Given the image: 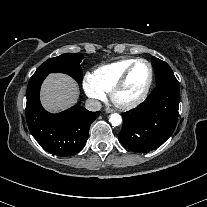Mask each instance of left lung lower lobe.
I'll list each match as a JSON object with an SVG mask.
<instances>
[{"label": "left lung lower lobe", "mask_w": 207, "mask_h": 207, "mask_svg": "<svg viewBox=\"0 0 207 207\" xmlns=\"http://www.w3.org/2000/svg\"><path fill=\"white\" fill-rule=\"evenodd\" d=\"M179 101L178 81L157 85L142 104L122 113L120 142L138 153H146L162 145L175 130Z\"/></svg>", "instance_id": "1"}]
</instances>
